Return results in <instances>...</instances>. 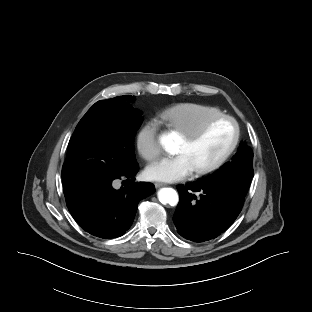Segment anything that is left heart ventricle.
I'll list each match as a JSON object with an SVG mask.
<instances>
[{
	"instance_id": "1",
	"label": "left heart ventricle",
	"mask_w": 312,
	"mask_h": 312,
	"mask_svg": "<svg viewBox=\"0 0 312 312\" xmlns=\"http://www.w3.org/2000/svg\"><path fill=\"white\" fill-rule=\"evenodd\" d=\"M235 136L234 125L227 120L213 124L207 132L193 143L183 137L176 153L186 154L194 169L217 160L229 148Z\"/></svg>"
}]
</instances>
